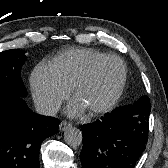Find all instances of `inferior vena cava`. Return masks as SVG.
<instances>
[{
  "mask_svg": "<svg viewBox=\"0 0 168 168\" xmlns=\"http://www.w3.org/2000/svg\"><path fill=\"white\" fill-rule=\"evenodd\" d=\"M35 109L38 114L54 116L58 112L59 106L53 102H39L35 104Z\"/></svg>",
  "mask_w": 168,
  "mask_h": 168,
  "instance_id": "602c4592",
  "label": "inferior vena cava"
}]
</instances>
